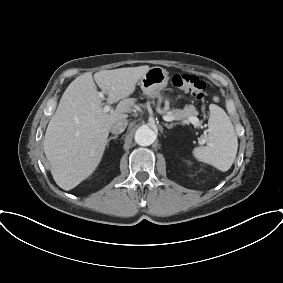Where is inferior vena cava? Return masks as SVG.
<instances>
[{"label":"inferior vena cava","instance_id":"602c4592","mask_svg":"<svg viewBox=\"0 0 283 283\" xmlns=\"http://www.w3.org/2000/svg\"><path fill=\"white\" fill-rule=\"evenodd\" d=\"M127 125H128V120L126 119L119 120L112 125L110 131L113 134H120L125 130Z\"/></svg>","mask_w":283,"mask_h":283}]
</instances>
